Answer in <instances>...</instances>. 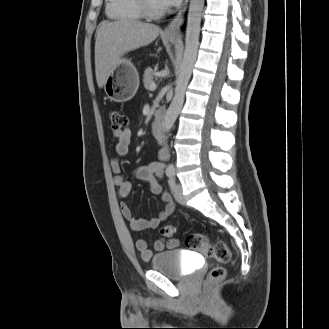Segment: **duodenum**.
<instances>
[{
	"instance_id": "duodenum-1",
	"label": "duodenum",
	"mask_w": 329,
	"mask_h": 329,
	"mask_svg": "<svg viewBox=\"0 0 329 329\" xmlns=\"http://www.w3.org/2000/svg\"><path fill=\"white\" fill-rule=\"evenodd\" d=\"M163 118H164V110L158 109L151 123L152 133L157 138H162L164 134Z\"/></svg>"
}]
</instances>
